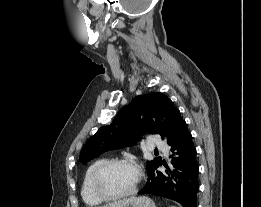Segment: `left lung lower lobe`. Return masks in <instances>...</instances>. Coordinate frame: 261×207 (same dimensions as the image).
I'll list each match as a JSON object with an SVG mask.
<instances>
[{
    "mask_svg": "<svg viewBox=\"0 0 261 207\" xmlns=\"http://www.w3.org/2000/svg\"><path fill=\"white\" fill-rule=\"evenodd\" d=\"M169 145L171 165L160 162L148 173L147 183L138 194L157 195L177 201L183 207H197L199 166L192 135L184 120ZM162 164L166 167L165 172L157 171Z\"/></svg>",
    "mask_w": 261,
    "mask_h": 207,
    "instance_id": "0a47b994",
    "label": "left lung lower lobe"
}]
</instances>
